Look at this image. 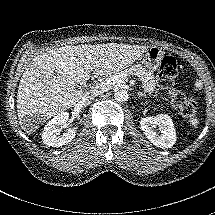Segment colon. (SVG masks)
<instances>
[{"label": "colon", "mask_w": 215, "mask_h": 215, "mask_svg": "<svg viewBox=\"0 0 215 215\" xmlns=\"http://www.w3.org/2000/svg\"><path fill=\"white\" fill-rule=\"evenodd\" d=\"M177 73V59L173 56L165 57L158 71V86L165 90V96L174 109L179 110L185 116H192L194 114V101L184 93L173 89Z\"/></svg>", "instance_id": "colon-1"}]
</instances>
